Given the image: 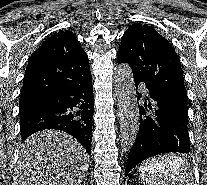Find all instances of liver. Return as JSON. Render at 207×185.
<instances>
[{
    "label": "liver",
    "mask_w": 207,
    "mask_h": 185,
    "mask_svg": "<svg viewBox=\"0 0 207 185\" xmlns=\"http://www.w3.org/2000/svg\"><path fill=\"white\" fill-rule=\"evenodd\" d=\"M89 163L86 149L68 133L38 131L19 151L13 185H81Z\"/></svg>",
    "instance_id": "liver-1"
}]
</instances>
